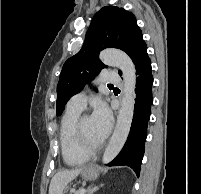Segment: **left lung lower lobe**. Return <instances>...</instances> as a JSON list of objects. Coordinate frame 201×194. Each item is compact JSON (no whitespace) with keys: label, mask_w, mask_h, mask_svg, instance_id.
Segmentation results:
<instances>
[{"label":"left lung lower lobe","mask_w":201,"mask_h":194,"mask_svg":"<svg viewBox=\"0 0 201 194\" xmlns=\"http://www.w3.org/2000/svg\"><path fill=\"white\" fill-rule=\"evenodd\" d=\"M132 60L135 64L137 75L132 125L124 147L108 165L129 166L139 176L147 137V125L150 119L151 105L153 104L151 61L147 55V46L143 39L139 43Z\"/></svg>","instance_id":"0a47b994"}]
</instances>
